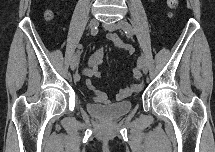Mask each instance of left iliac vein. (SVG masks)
Returning <instances> with one entry per match:
<instances>
[{
	"mask_svg": "<svg viewBox=\"0 0 215 152\" xmlns=\"http://www.w3.org/2000/svg\"><path fill=\"white\" fill-rule=\"evenodd\" d=\"M121 22L123 21H120L118 23H110V24H104V27L108 30V31H115L117 29H120L121 28ZM143 56V55H142ZM141 66L143 67L142 70L143 72L146 74L148 72V63H147V60L146 58L143 56V63L141 64Z\"/></svg>",
	"mask_w": 215,
	"mask_h": 152,
	"instance_id": "obj_1",
	"label": "left iliac vein"
}]
</instances>
